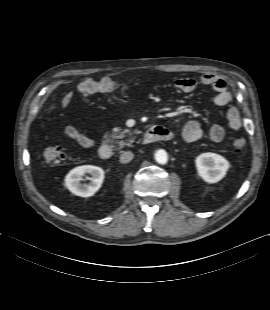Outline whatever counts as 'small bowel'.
Segmentation results:
<instances>
[{"instance_id": "obj_1", "label": "small bowel", "mask_w": 270, "mask_h": 310, "mask_svg": "<svg viewBox=\"0 0 270 310\" xmlns=\"http://www.w3.org/2000/svg\"><path fill=\"white\" fill-rule=\"evenodd\" d=\"M87 82L94 81L89 77L84 78L79 83V87ZM173 84L177 90L184 93L193 92L197 88L198 84L210 86L216 92L213 98L214 104L217 106L228 107L225 116L229 128L232 130H239L242 127V118L239 110L232 105L233 96L229 91L226 82L217 75L213 73H205L200 77L199 81L190 77L178 78L174 80ZM72 98L73 91L66 92L61 99L62 107H67L71 103ZM63 132L65 137L75 141L81 147L91 148L95 145L94 140L86 136L74 126H66ZM203 134L204 132L201 123L198 120L188 121L182 130V138L187 143H193L201 139ZM208 136L213 142H220L225 137V129L220 124H213L209 129Z\"/></svg>"}]
</instances>
